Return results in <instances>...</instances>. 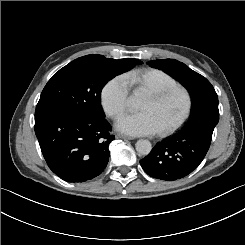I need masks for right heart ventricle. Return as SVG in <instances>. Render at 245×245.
Here are the masks:
<instances>
[{
  "mask_svg": "<svg viewBox=\"0 0 245 245\" xmlns=\"http://www.w3.org/2000/svg\"><path fill=\"white\" fill-rule=\"evenodd\" d=\"M124 83L134 92H143L149 87L167 88L179 83L163 70L141 67L132 69L121 76Z\"/></svg>",
  "mask_w": 245,
  "mask_h": 245,
  "instance_id": "obj_1",
  "label": "right heart ventricle"
}]
</instances>
